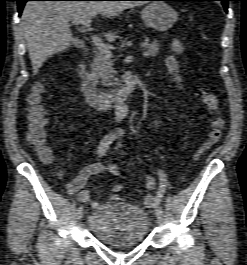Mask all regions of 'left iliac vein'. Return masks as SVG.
<instances>
[{"instance_id":"1","label":"left iliac vein","mask_w":247,"mask_h":265,"mask_svg":"<svg viewBox=\"0 0 247 265\" xmlns=\"http://www.w3.org/2000/svg\"><path fill=\"white\" fill-rule=\"evenodd\" d=\"M156 217L159 223L163 221V212L162 209H155Z\"/></svg>"}]
</instances>
